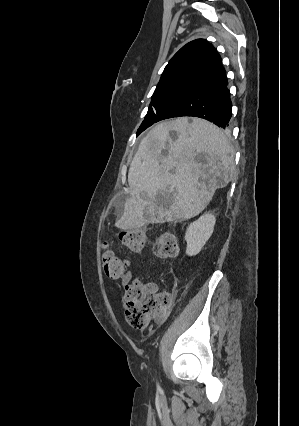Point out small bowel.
Listing matches in <instances>:
<instances>
[{
  "instance_id": "c3829d8e",
  "label": "small bowel",
  "mask_w": 299,
  "mask_h": 426,
  "mask_svg": "<svg viewBox=\"0 0 299 426\" xmlns=\"http://www.w3.org/2000/svg\"><path fill=\"white\" fill-rule=\"evenodd\" d=\"M132 279V272L131 271H127L123 276H122V285L126 286ZM152 289L155 290L156 287L152 286ZM165 318V316H162L160 318V321H163Z\"/></svg>"
}]
</instances>
